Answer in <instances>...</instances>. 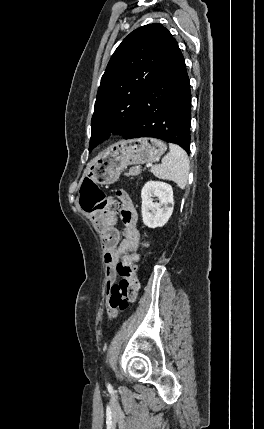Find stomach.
Instances as JSON below:
<instances>
[{
    "instance_id": "obj_1",
    "label": "stomach",
    "mask_w": 264,
    "mask_h": 429,
    "mask_svg": "<svg viewBox=\"0 0 264 429\" xmlns=\"http://www.w3.org/2000/svg\"><path fill=\"white\" fill-rule=\"evenodd\" d=\"M166 149V144L156 138L120 141L89 164L86 176L99 185L113 184L128 165L152 162L162 156Z\"/></svg>"
}]
</instances>
